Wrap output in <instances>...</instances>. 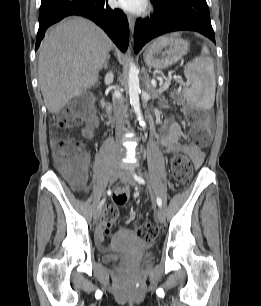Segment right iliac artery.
Listing matches in <instances>:
<instances>
[{
    "label": "right iliac artery",
    "mask_w": 261,
    "mask_h": 306,
    "mask_svg": "<svg viewBox=\"0 0 261 306\" xmlns=\"http://www.w3.org/2000/svg\"><path fill=\"white\" fill-rule=\"evenodd\" d=\"M105 202V199L101 201L100 206H102Z\"/></svg>",
    "instance_id": "82829eb1"
}]
</instances>
